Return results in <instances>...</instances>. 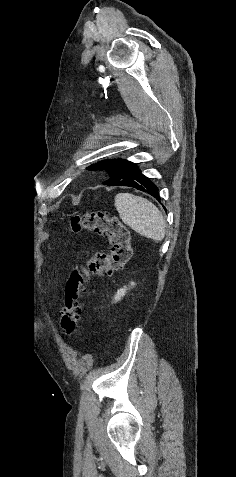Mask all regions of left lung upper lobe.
<instances>
[{"instance_id": "5c2ea615", "label": "left lung upper lobe", "mask_w": 236, "mask_h": 477, "mask_svg": "<svg viewBox=\"0 0 236 477\" xmlns=\"http://www.w3.org/2000/svg\"><path fill=\"white\" fill-rule=\"evenodd\" d=\"M135 164L127 160H107L88 167L89 170H105L110 178L103 184L108 186H116L124 181L132 173Z\"/></svg>"}]
</instances>
